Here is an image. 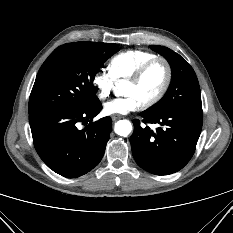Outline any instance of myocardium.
I'll use <instances>...</instances> for the list:
<instances>
[{
	"label": "myocardium",
	"mask_w": 233,
	"mask_h": 233,
	"mask_svg": "<svg viewBox=\"0 0 233 233\" xmlns=\"http://www.w3.org/2000/svg\"><path fill=\"white\" fill-rule=\"evenodd\" d=\"M156 62H162L165 66V69H166L165 81H164L160 91L157 93V95L154 96L152 99H150L142 104V106L144 108H150V107L158 104L166 95V93L171 85L172 77H173V71H172V66H171L170 62L165 57L156 56V57L146 61L145 63H143L135 71V73L130 78L127 79V81L132 83V84H138L142 80V78L144 77L146 72L149 70V68L153 64H155Z\"/></svg>",
	"instance_id": "myocardium-1"
}]
</instances>
